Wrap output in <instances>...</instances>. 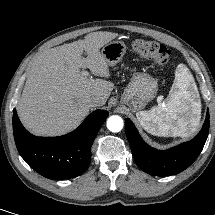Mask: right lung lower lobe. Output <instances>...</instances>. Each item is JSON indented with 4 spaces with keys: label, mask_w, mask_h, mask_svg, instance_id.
I'll return each instance as SVG.
<instances>
[{
    "label": "right lung lower lobe",
    "mask_w": 215,
    "mask_h": 215,
    "mask_svg": "<svg viewBox=\"0 0 215 215\" xmlns=\"http://www.w3.org/2000/svg\"><path fill=\"white\" fill-rule=\"evenodd\" d=\"M107 111L96 110L73 132L59 137H36L21 124L13 112V133L21 157L42 176L69 179L81 175L89 166L91 146Z\"/></svg>",
    "instance_id": "right-lung-lower-lobe-1"
}]
</instances>
